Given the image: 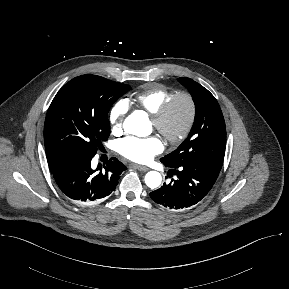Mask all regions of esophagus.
I'll list each match as a JSON object with an SVG mask.
<instances>
[{
  "label": "esophagus",
  "mask_w": 289,
  "mask_h": 289,
  "mask_svg": "<svg viewBox=\"0 0 289 289\" xmlns=\"http://www.w3.org/2000/svg\"><path fill=\"white\" fill-rule=\"evenodd\" d=\"M130 166H131L132 168H135V169H137V170H139V171H142V172H147V171L149 170L148 167H146V166H141V165H137V164H131Z\"/></svg>",
  "instance_id": "34e87169"
}]
</instances>
